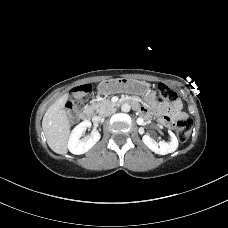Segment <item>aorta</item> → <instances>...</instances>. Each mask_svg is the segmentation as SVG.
<instances>
[{"label": "aorta", "mask_w": 228, "mask_h": 228, "mask_svg": "<svg viewBox=\"0 0 228 228\" xmlns=\"http://www.w3.org/2000/svg\"><path fill=\"white\" fill-rule=\"evenodd\" d=\"M130 109H131V106H130L128 103H124V104L121 106L122 112H129Z\"/></svg>", "instance_id": "obj_1"}]
</instances>
